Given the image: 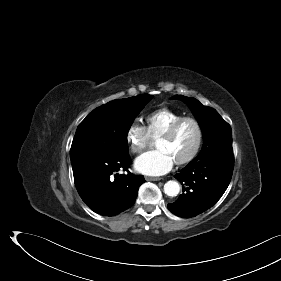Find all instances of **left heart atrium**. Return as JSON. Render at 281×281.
I'll return each mask as SVG.
<instances>
[{
  "label": "left heart atrium",
  "instance_id": "obj_1",
  "mask_svg": "<svg viewBox=\"0 0 281 281\" xmlns=\"http://www.w3.org/2000/svg\"><path fill=\"white\" fill-rule=\"evenodd\" d=\"M175 161L164 150L157 149L140 155L135 160V169L148 176H160L169 172Z\"/></svg>",
  "mask_w": 281,
  "mask_h": 281
}]
</instances>
